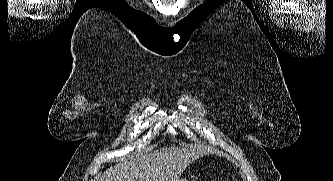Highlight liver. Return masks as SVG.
I'll use <instances>...</instances> for the list:
<instances>
[{"label": "liver", "instance_id": "obj_1", "mask_svg": "<svg viewBox=\"0 0 333 181\" xmlns=\"http://www.w3.org/2000/svg\"><path fill=\"white\" fill-rule=\"evenodd\" d=\"M203 155L198 148H160L122 160L106 170L100 181H179L185 169Z\"/></svg>", "mask_w": 333, "mask_h": 181}]
</instances>
